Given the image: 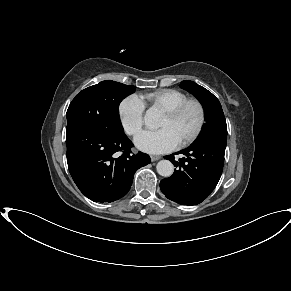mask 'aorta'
<instances>
[{
	"mask_svg": "<svg viewBox=\"0 0 291 291\" xmlns=\"http://www.w3.org/2000/svg\"><path fill=\"white\" fill-rule=\"evenodd\" d=\"M145 125L154 129L158 127L159 113L155 108H149L144 116ZM156 170L163 177H170L174 172V165L169 160H161L156 165Z\"/></svg>",
	"mask_w": 291,
	"mask_h": 291,
	"instance_id": "obj_1",
	"label": "aorta"
}]
</instances>
